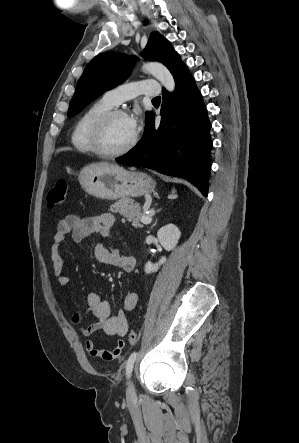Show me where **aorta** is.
<instances>
[{
    "label": "aorta",
    "mask_w": 299,
    "mask_h": 443,
    "mask_svg": "<svg viewBox=\"0 0 299 443\" xmlns=\"http://www.w3.org/2000/svg\"><path fill=\"white\" fill-rule=\"evenodd\" d=\"M145 73L151 74L169 91L173 92L175 89V81L170 71L161 63L149 62L142 66Z\"/></svg>",
    "instance_id": "aorta-1"
}]
</instances>
